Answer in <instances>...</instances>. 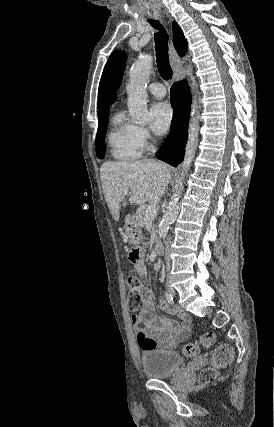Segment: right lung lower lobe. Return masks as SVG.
<instances>
[{"instance_id":"obj_1","label":"right lung lower lobe","mask_w":274,"mask_h":427,"mask_svg":"<svg viewBox=\"0 0 274 427\" xmlns=\"http://www.w3.org/2000/svg\"><path fill=\"white\" fill-rule=\"evenodd\" d=\"M173 120L171 131L156 157L172 166L182 162L185 143L188 137V120L190 113L191 94L186 81L174 83L171 88Z\"/></svg>"}]
</instances>
